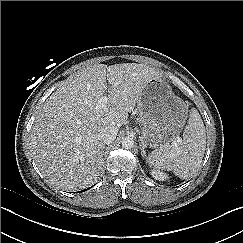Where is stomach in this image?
Instances as JSON below:
<instances>
[{
    "label": "stomach",
    "instance_id": "1",
    "mask_svg": "<svg viewBox=\"0 0 243 243\" xmlns=\"http://www.w3.org/2000/svg\"><path fill=\"white\" fill-rule=\"evenodd\" d=\"M138 111L143 142L157 150L179 136L188 117V104L174 94L164 78L155 77L143 88Z\"/></svg>",
    "mask_w": 243,
    "mask_h": 243
}]
</instances>
